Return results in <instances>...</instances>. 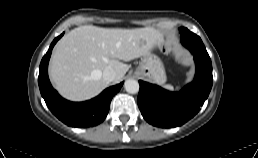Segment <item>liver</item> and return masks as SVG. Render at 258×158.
I'll list each match as a JSON object with an SVG mask.
<instances>
[{
  "label": "liver",
  "mask_w": 258,
  "mask_h": 158,
  "mask_svg": "<svg viewBox=\"0 0 258 158\" xmlns=\"http://www.w3.org/2000/svg\"><path fill=\"white\" fill-rule=\"evenodd\" d=\"M162 43L152 28L119 29L92 25L77 27L57 43L49 66L55 88L65 98L83 101L97 96L108 85L103 70L111 67L119 82L129 66L122 61L145 56Z\"/></svg>",
  "instance_id": "obj_1"
}]
</instances>
